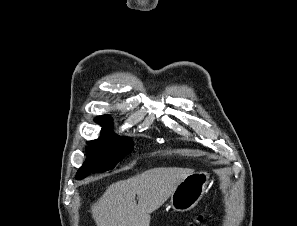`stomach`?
Returning <instances> with one entry per match:
<instances>
[{
	"label": "stomach",
	"instance_id": "obj_1",
	"mask_svg": "<svg viewBox=\"0 0 297 226\" xmlns=\"http://www.w3.org/2000/svg\"><path fill=\"white\" fill-rule=\"evenodd\" d=\"M209 179L210 175L204 171L187 176L171 194L170 207L176 212L193 209L203 197Z\"/></svg>",
	"mask_w": 297,
	"mask_h": 226
}]
</instances>
